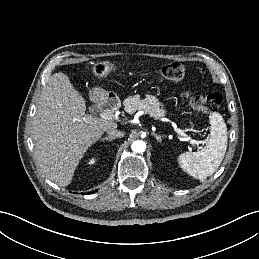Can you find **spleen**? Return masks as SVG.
<instances>
[{
    "mask_svg": "<svg viewBox=\"0 0 259 259\" xmlns=\"http://www.w3.org/2000/svg\"><path fill=\"white\" fill-rule=\"evenodd\" d=\"M210 135L207 145L198 152L179 155L180 167L190 176L205 180L220 166L227 150V127L222 115L213 112L209 116Z\"/></svg>",
    "mask_w": 259,
    "mask_h": 259,
    "instance_id": "3e777b00",
    "label": "spleen"
}]
</instances>
